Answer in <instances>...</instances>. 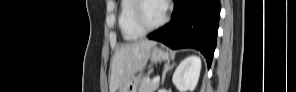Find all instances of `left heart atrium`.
I'll return each instance as SVG.
<instances>
[{
	"label": "left heart atrium",
	"mask_w": 296,
	"mask_h": 92,
	"mask_svg": "<svg viewBox=\"0 0 296 92\" xmlns=\"http://www.w3.org/2000/svg\"><path fill=\"white\" fill-rule=\"evenodd\" d=\"M162 5H163V9H164V11L166 10V5H165V3H162Z\"/></svg>",
	"instance_id": "39dd6f15"
}]
</instances>
